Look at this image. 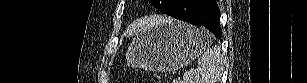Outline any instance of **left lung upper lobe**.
<instances>
[{
    "mask_svg": "<svg viewBox=\"0 0 307 83\" xmlns=\"http://www.w3.org/2000/svg\"><path fill=\"white\" fill-rule=\"evenodd\" d=\"M150 2L161 12L166 13L174 0H150Z\"/></svg>",
    "mask_w": 307,
    "mask_h": 83,
    "instance_id": "left-lung-upper-lobe-1",
    "label": "left lung upper lobe"
}]
</instances>
